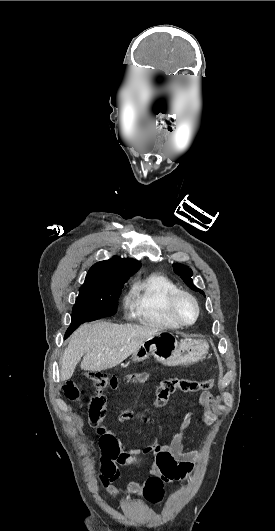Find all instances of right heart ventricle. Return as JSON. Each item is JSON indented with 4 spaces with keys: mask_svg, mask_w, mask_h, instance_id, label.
I'll use <instances>...</instances> for the list:
<instances>
[{
    "mask_svg": "<svg viewBox=\"0 0 275 531\" xmlns=\"http://www.w3.org/2000/svg\"><path fill=\"white\" fill-rule=\"evenodd\" d=\"M176 289V285L161 274L139 278L133 287L134 314L152 326L179 328L180 325L170 317L166 305L168 296Z\"/></svg>",
    "mask_w": 275,
    "mask_h": 531,
    "instance_id": "e07e8e85",
    "label": "right heart ventricle"
}]
</instances>
